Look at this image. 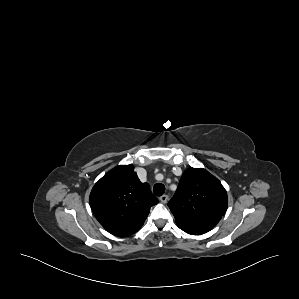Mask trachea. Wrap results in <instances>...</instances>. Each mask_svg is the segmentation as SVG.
Instances as JSON below:
<instances>
[{
  "label": "trachea",
  "mask_w": 299,
  "mask_h": 299,
  "mask_svg": "<svg viewBox=\"0 0 299 299\" xmlns=\"http://www.w3.org/2000/svg\"><path fill=\"white\" fill-rule=\"evenodd\" d=\"M153 191L156 196H162L165 192V186L161 183H157L154 185Z\"/></svg>",
  "instance_id": "3493384b"
}]
</instances>
